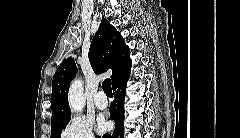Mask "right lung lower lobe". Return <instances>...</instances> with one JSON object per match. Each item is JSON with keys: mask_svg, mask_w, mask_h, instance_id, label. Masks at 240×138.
<instances>
[{"mask_svg": "<svg viewBox=\"0 0 240 138\" xmlns=\"http://www.w3.org/2000/svg\"><path fill=\"white\" fill-rule=\"evenodd\" d=\"M126 79L112 87L114 91V102L110 106V119L115 122V129L112 134H104L103 138H123L124 135V98Z\"/></svg>", "mask_w": 240, "mask_h": 138, "instance_id": "obj_1", "label": "right lung lower lobe"}]
</instances>
